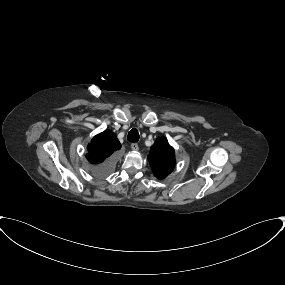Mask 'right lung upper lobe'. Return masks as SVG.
I'll use <instances>...</instances> for the list:
<instances>
[{"label": "right lung upper lobe", "mask_w": 285, "mask_h": 285, "mask_svg": "<svg viewBox=\"0 0 285 285\" xmlns=\"http://www.w3.org/2000/svg\"><path fill=\"white\" fill-rule=\"evenodd\" d=\"M86 155L91 164H102L109 160L111 155L121 149V144L115 134L109 130L96 135L87 146Z\"/></svg>", "instance_id": "1"}]
</instances>
